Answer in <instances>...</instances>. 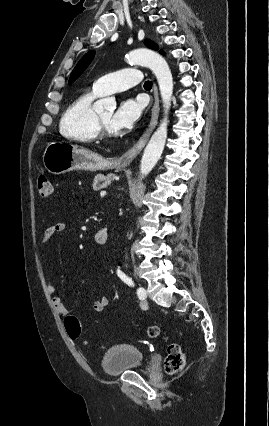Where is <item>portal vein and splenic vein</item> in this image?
Masks as SVG:
<instances>
[{
	"instance_id": "1",
	"label": "portal vein and splenic vein",
	"mask_w": 269,
	"mask_h": 426,
	"mask_svg": "<svg viewBox=\"0 0 269 426\" xmlns=\"http://www.w3.org/2000/svg\"><path fill=\"white\" fill-rule=\"evenodd\" d=\"M105 195H106V192H105V191H101V192H100V196H101V197H103V196H105Z\"/></svg>"
}]
</instances>
